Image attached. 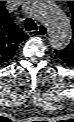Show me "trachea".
Segmentation results:
<instances>
[{
	"label": "trachea",
	"instance_id": "3493384b",
	"mask_svg": "<svg viewBox=\"0 0 74 122\" xmlns=\"http://www.w3.org/2000/svg\"><path fill=\"white\" fill-rule=\"evenodd\" d=\"M24 26H25V29H26L27 31H33V30H37V29H38L36 23H35L34 20L31 19V18H27V19L25 20Z\"/></svg>",
	"mask_w": 74,
	"mask_h": 122
}]
</instances>
